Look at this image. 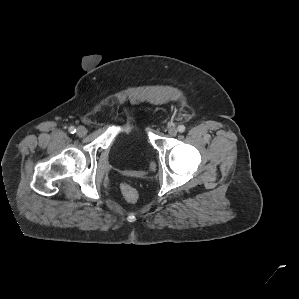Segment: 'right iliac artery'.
Here are the masks:
<instances>
[{
	"label": "right iliac artery",
	"mask_w": 299,
	"mask_h": 299,
	"mask_svg": "<svg viewBox=\"0 0 299 299\" xmlns=\"http://www.w3.org/2000/svg\"><path fill=\"white\" fill-rule=\"evenodd\" d=\"M69 132L70 133H75L76 132V128L74 126L69 127Z\"/></svg>",
	"instance_id": "82829eb1"
}]
</instances>
